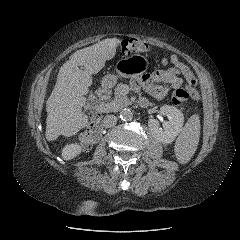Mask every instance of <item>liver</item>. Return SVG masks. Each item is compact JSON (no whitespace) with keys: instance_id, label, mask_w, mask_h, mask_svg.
<instances>
[{"instance_id":"obj_1","label":"liver","mask_w":240,"mask_h":240,"mask_svg":"<svg viewBox=\"0 0 240 240\" xmlns=\"http://www.w3.org/2000/svg\"><path fill=\"white\" fill-rule=\"evenodd\" d=\"M120 40L106 38L92 46L77 50L60 67L55 87L46 102V139L51 141L63 135H76L88 124L82 112L85 95L92 85V74L104 68L106 61L116 55ZM84 66L85 70H80Z\"/></svg>"}]
</instances>
